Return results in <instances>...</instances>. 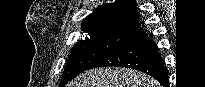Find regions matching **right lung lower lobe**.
<instances>
[{
	"label": "right lung lower lobe",
	"mask_w": 205,
	"mask_h": 87,
	"mask_svg": "<svg viewBox=\"0 0 205 87\" xmlns=\"http://www.w3.org/2000/svg\"><path fill=\"white\" fill-rule=\"evenodd\" d=\"M105 66L132 68L157 79L165 87L169 86L168 70L163 65L157 45L143 30L133 34L90 68Z\"/></svg>",
	"instance_id": "1"
}]
</instances>
